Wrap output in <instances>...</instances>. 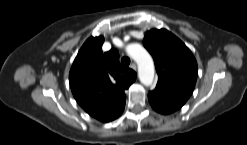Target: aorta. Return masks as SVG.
<instances>
[{
    "mask_svg": "<svg viewBox=\"0 0 247 145\" xmlns=\"http://www.w3.org/2000/svg\"><path fill=\"white\" fill-rule=\"evenodd\" d=\"M127 52L138 65L140 82L145 86H150L154 79V63L150 54L137 44L129 45Z\"/></svg>",
    "mask_w": 247,
    "mask_h": 145,
    "instance_id": "obj_1",
    "label": "aorta"
}]
</instances>
